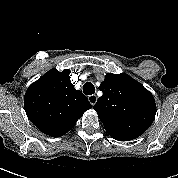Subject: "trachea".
<instances>
[{
  "instance_id": "1",
  "label": "trachea",
  "mask_w": 178,
  "mask_h": 178,
  "mask_svg": "<svg viewBox=\"0 0 178 178\" xmlns=\"http://www.w3.org/2000/svg\"><path fill=\"white\" fill-rule=\"evenodd\" d=\"M83 93L85 95H92L95 93V86L91 82H86L83 85Z\"/></svg>"
}]
</instances>
